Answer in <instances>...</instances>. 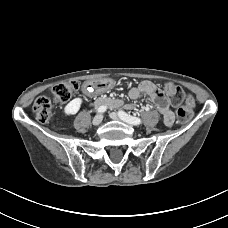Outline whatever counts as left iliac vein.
Returning <instances> with one entry per match:
<instances>
[{
  "label": "left iliac vein",
  "mask_w": 228,
  "mask_h": 228,
  "mask_svg": "<svg viewBox=\"0 0 228 228\" xmlns=\"http://www.w3.org/2000/svg\"><path fill=\"white\" fill-rule=\"evenodd\" d=\"M110 118L113 120H122L115 112L110 113ZM124 121V120H123ZM126 122V121H125ZM128 123V122H127Z\"/></svg>",
  "instance_id": "1"
}]
</instances>
